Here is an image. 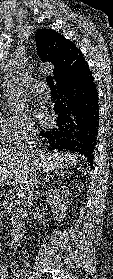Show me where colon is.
I'll use <instances>...</instances> for the list:
<instances>
[{
    "label": "colon",
    "mask_w": 113,
    "mask_h": 279,
    "mask_svg": "<svg viewBox=\"0 0 113 279\" xmlns=\"http://www.w3.org/2000/svg\"><path fill=\"white\" fill-rule=\"evenodd\" d=\"M0 275H1V266H0Z\"/></svg>",
    "instance_id": "1"
}]
</instances>
